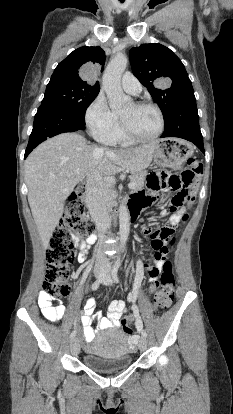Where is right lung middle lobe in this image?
Here are the masks:
<instances>
[{
    "label": "right lung middle lobe",
    "instance_id": "dd1d6c3e",
    "mask_svg": "<svg viewBox=\"0 0 233 414\" xmlns=\"http://www.w3.org/2000/svg\"><path fill=\"white\" fill-rule=\"evenodd\" d=\"M99 91L100 87L51 78L41 104L54 105L84 117Z\"/></svg>",
    "mask_w": 233,
    "mask_h": 414
}]
</instances>
